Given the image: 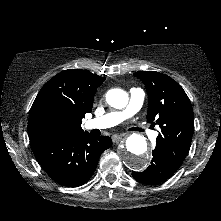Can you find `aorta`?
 <instances>
[{"label": "aorta", "mask_w": 221, "mask_h": 221, "mask_svg": "<svg viewBox=\"0 0 221 221\" xmlns=\"http://www.w3.org/2000/svg\"><path fill=\"white\" fill-rule=\"evenodd\" d=\"M106 101L113 108L123 109L128 103V94L122 89H111L106 94ZM119 157L129 169L144 170L150 161L146 139L139 134L130 135L125 146L120 148Z\"/></svg>", "instance_id": "762f6f07"}]
</instances>
